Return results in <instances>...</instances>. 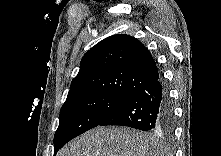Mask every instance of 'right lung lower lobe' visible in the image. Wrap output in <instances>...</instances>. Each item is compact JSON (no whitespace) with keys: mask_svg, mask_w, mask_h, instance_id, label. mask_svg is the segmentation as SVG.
<instances>
[{"mask_svg":"<svg viewBox=\"0 0 221 156\" xmlns=\"http://www.w3.org/2000/svg\"><path fill=\"white\" fill-rule=\"evenodd\" d=\"M99 125L128 126L143 131H172L173 108L164 82L159 78L139 90Z\"/></svg>","mask_w":221,"mask_h":156,"instance_id":"right-lung-lower-lobe-1","label":"right lung lower lobe"}]
</instances>
